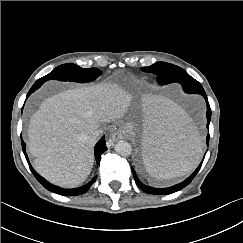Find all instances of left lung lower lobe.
Returning a JSON list of instances; mask_svg holds the SVG:
<instances>
[{
  "mask_svg": "<svg viewBox=\"0 0 243 243\" xmlns=\"http://www.w3.org/2000/svg\"><path fill=\"white\" fill-rule=\"evenodd\" d=\"M183 90L186 93H189V94H200V95H202L205 98L206 104H207V114H206V117H207V120H208L207 128H209L210 119H211V109H210V105H209L206 93H205L203 87L201 86V84L200 83H196V84H191V85H185V86H183ZM208 143H209V134L207 135V144ZM202 162L197 167V169L186 180H184L183 182H181V183H179L177 185H174V186H171V187H168V188H153V187L144 185L138 179L134 169L133 168H131V169H132L133 176H134L136 184L144 192L149 193V194L167 195V194H171V193H174L176 191H179V190L183 189L184 187H186L193 180V178L196 176V174L200 170Z\"/></svg>",
  "mask_w": 243,
  "mask_h": 243,
  "instance_id": "0a47b994",
  "label": "left lung lower lobe"
}]
</instances>
